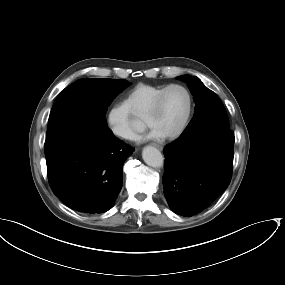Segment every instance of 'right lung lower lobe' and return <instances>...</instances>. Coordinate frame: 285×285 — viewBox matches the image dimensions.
Returning a JSON list of instances; mask_svg holds the SVG:
<instances>
[{
    "label": "right lung lower lobe",
    "mask_w": 285,
    "mask_h": 285,
    "mask_svg": "<svg viewBox=\"0 0 285 285\" xmlns=\"http://www.w3.org/2000/svg\"><path fill=\"white\" fill-rule=\"evenodd\" d=\"M44 148L50 187L68 207L99 214L114 206L124 161L134 150L106 123L91 115L75 117L47 138Z\"/></svg>",
    "instance_id": "obj_1"
}]
</instances>
